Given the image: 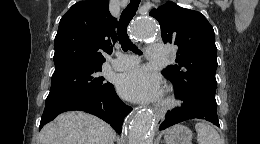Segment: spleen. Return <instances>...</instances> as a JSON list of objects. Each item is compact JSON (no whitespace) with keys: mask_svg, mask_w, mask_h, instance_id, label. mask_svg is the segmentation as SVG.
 <instances>
[{"mask_svg":"<svg viewBox=\"0 0 260 144\" xmlns=\"http://www.w3.org/2000/svg\"><path fill=\"white\" fill-rule=\"evenodd\" d=\"M198 144H222L218 132L205 122L195 124Z\"/></svg>","mask_w":260,"mask_h":144,"instance_id":"3e777b00","label":"spleen"}]
</instances>
